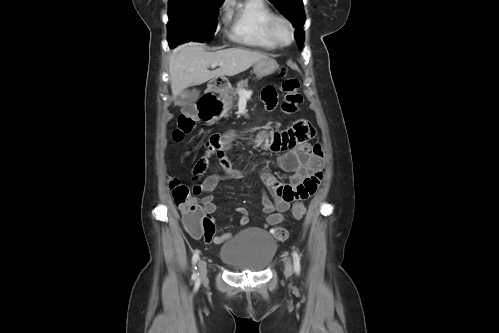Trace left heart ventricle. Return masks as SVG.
<instances>
[{
    "mask_svg": "<svg viewBox=\"0 0 499 333\" xmlns=\"http://www.w3.org/2000/svg\"><path fill=\"white\" fill-rule=\"evenodd\" d=\"M277 33L278 35L283 38V39H286L287 38V27L285 24L283 23H280L277 25Z\"/></svg>",
    "mask_w": 499,
    "mask_h": 333,
    "instance_id": "left-heart-ventricle-1",
    "label": "left heart ventricle"
}]
</instances>
